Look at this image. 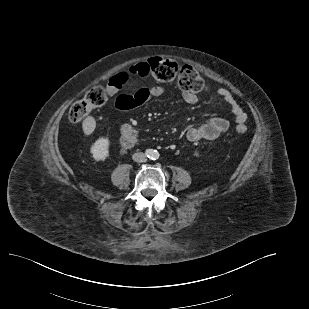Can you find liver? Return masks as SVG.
<instances>
[{
	"mask_svg": "<svg viewBox=\"0 0 309 309\" xmlns=\"http://www.w3.org/2000/svg\"><path fill=\"white\" fill-rule=\"evenodd\" d=\"M96 127V122L94 118L92 117H87L83 122H82V128L83 132L85 135H90Z\"/></svg>",
	"mask_w": 309,
	"mask_h": 309,
	"instance_id": "6515ba94",
	"label": "liver"
}]
</instances>
